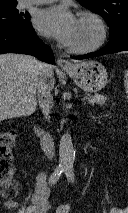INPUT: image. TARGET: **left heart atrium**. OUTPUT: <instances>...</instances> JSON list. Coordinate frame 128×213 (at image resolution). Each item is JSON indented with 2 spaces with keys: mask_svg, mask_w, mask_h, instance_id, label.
Here are the masks:
<instances>
[{
  "mask_svg": "<svg viewBox=\"0 0 128 213\" xmlns=\"http://www.w3.org/2000/svg\"><path fill=\"white\" fill-rule=\"evenodd\" d=\"M78 19L67 5H54L40 10L34 17V26L44 35L52 36L70 45Z\"/></svg>",
  "mask_w": 128,
  "mask_h": 213,
  "instance_id": "obj_1",
  "label": "left heart atrium"
}]
</instances>
